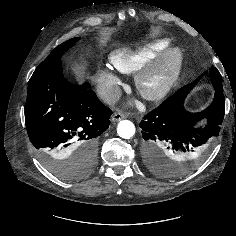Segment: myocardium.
Returning a JSON list of instances; mask_svg holds the SVG:
<instances>
[{"mask_svg": "<svg viewBox=\"0 0 236 236\" xmlns=\"http://www.w3.org/2000/svg\"><path fill=\"white\" fill-rule=\"evenodd\" d=\"M183 68V55L180 50H164L140 68L135 76V84L140 94L150 101L166 97L176 85ZM166 71L161 82L152 84L153 78Z\"/></svg>", "mask_w": 236, "mask_h": 236, "instance_id": "myocardium-1", "label": "myocardium"}]
</instances>
